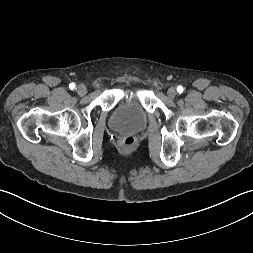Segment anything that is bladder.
<instances>
[{
	"label": "bladder",
	"mask_w": 253,
	"mask_h": 253,
	"mask_svg": "<svg viewBox=\"0 0 253 253\" xmlns=\"http://www.w3.org/2000/svg\"><path fill=\"white\" fill-rule=\"evenodd\" d=\"M147 124V113L140 100L132 98L122 100L113 110L110 126L120 132H138Z\"/></svg>",
	"instance_id": "31cf9c89"
}]
</instances>
